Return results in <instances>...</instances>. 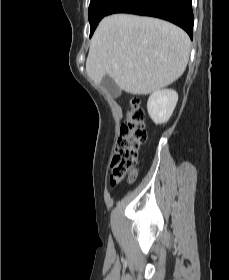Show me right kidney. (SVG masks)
I'll return each mask as SVG.
<instances>
[{
	"instance_id": "1",
	"label": "right kidney",
	"mask_w": 229,
	"mask_h": 280,
	"mask_svg": "<svg viewBox=\"0 0 229 280\" xmlns=\"http://www.w3.org/2000/svg\"><path fill=\"white\" fill-rule=\"evenodd\" d=\"M178 101V94L171 89H163L152 93L147 102L149 116L155 124L167 122Z\"/></svg>"
}]
</instances>
